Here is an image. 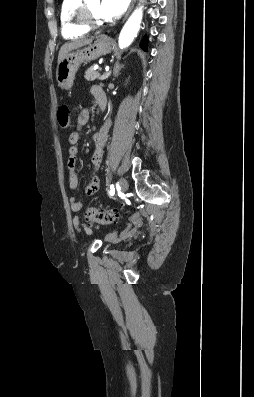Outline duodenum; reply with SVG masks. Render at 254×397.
<instances>
[{
    "label": "duodenum",
    "instance_id": "duodenum-1",
    "mask_svg": "<svg viewBox=\"0 0 254 397\" xmlns=\"http://www.w3.org/2000/svg\"><path fill=\"white\" fill-rule=\"evenodd\" d=\"M99 106L104 109L106 106V96H103L98 101Z\"/></svg>",
    "mask_w": 254,
    "mask_h": 397
}]
</instances>
